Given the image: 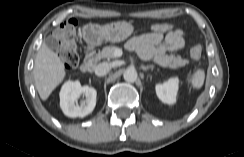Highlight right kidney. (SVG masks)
<instances>
[{"mask_svg": "<svg viewBox=\"0 0 244 157\" xmlns=\"http://www.w3.org/2000/svg\"><path fill=\"white\" fill-rule=\"evenodd\" d=\"M83 96L85 100L79 98ZM97 92L89 86H81L79 81L66 82L60 91V107L63 113L71 118L85 117L90 114L96 105Z\"/></svg>", "mask_w": 244, "mask_h": 157, "instance_id": "obj_1", "label": "right kidney"}]
</instances>
